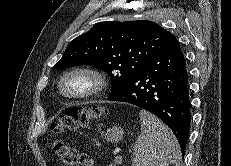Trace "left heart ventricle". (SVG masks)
Returning a JSON list of instances; mask_svg holds the SVG:
<instances>
[{
    "instance_id": "b2bd125f",
    "label": "left heart ventricle",
    "mask_w": 231,
    "mask_h": 166,
    "mask_svg": "<svg viewBox=\"0 0 231 166\" xmlns=\"http://www.w3.org/2000/svg\"><path fill=\"white\" fill-rule=\"evenodd\" d=\"M87 82L85 79L81 77H74L71 78L69 81L66 83V88L69 90H80L84 87H86Z\"/></svg>"
}]
</instances>
